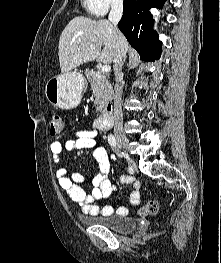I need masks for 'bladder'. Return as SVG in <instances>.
<instances>
[{
  "label": "bladder",
  "mask_w": 221,
  "mask_h": 263,
  "mask_svg": "<svg viewBox=\"0 0 221 263\" xmlns=\"http://www.w3.org/2000/svg\"><path fill=\"white\" fill-rule=\"evenodd\" d=\"M81 220L119 233L131 232L137 227L135 219L121 215L90 216L83 217Z\"/></svg>",
  "instance_id": "bladder-1"
}]
</instances>
